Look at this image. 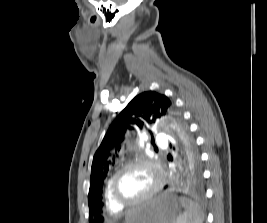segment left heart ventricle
Segmentation results:
<instances>
[{"label": "left heart ventricle", "instance_id": "obj_1", "mask_svg": "<svg viewBox=\"0 0 267 223\" xmlns=\"http://www.w3.org/2000/svg\"><path fill=\"white\" fill-rule=\"evenodd\" d=\"M155 183L151 169L143 165L132 166L120 174L116 181V192L125 201L137 200L149 192Z\"/></svg>", "mask_w": 267, "mask_h": 223}]
</instances>
